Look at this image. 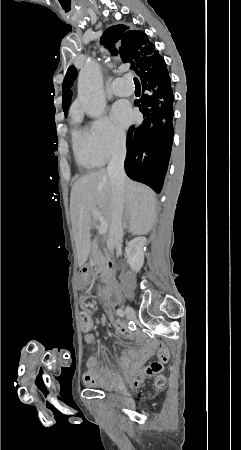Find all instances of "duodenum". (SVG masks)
<instances>
[{
    "label": "duodenum",
    "mask_w": 241,
    "mask_h": 450,
    "mask_svg": "<svg viewBox=\"0 0 241 450\" xmlns=\"http://www.w3.org/2000/svg\"><path fill=\"white\" fill-rule=\"evenodd\" d=\"M108 269L111 271L114 268V263L112 260L107 261ZM90 270L88 268H83L80 271V279L82 283H86L89 279ZM105 298L109 302H116L119 298V291L116 281L113 278H109L104 290Z\"/></svg>",
    "instance_id": "duodenum-1"
}]
</instances>
